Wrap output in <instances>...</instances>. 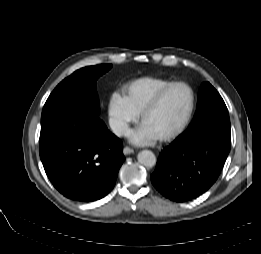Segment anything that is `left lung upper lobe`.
<instances>
[{
	"instance_id": "1",
	"label": "left lung upper lobe",
	"mask_w": 261,
	"mask_h": 254,
	"mask_svg": "<svg viewBox=\"0 0 261 254\" xmlns=\"http://www.w3.org/2000/svg\"><path fill=\"white\" fill-rule=\"evenodd\" d=\"M212 127L230 128V120L220 94L209 82H205L199 90L194 119L184 134L195 135Z\"/></svg>"
}]
</instances>
